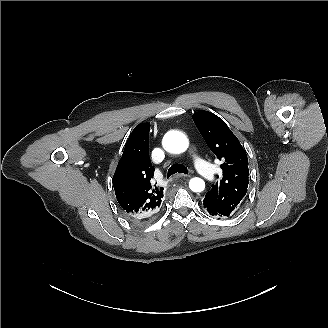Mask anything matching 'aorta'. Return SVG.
Listing matches in <instances>:
<instances>
[{
    "label": "aorta",
    "instance_id": "obj_1",
    "mask_svg": "<svg viewBox=\"0 0 328 328\" xmlns=\"http://www.w3.org/2000/svg\"><path fill=\"white\" fill-rule=\"evenodd\" d=\"M164 148L172 153H183L189 146L187 137L179 131H169L163 138ZM189 188L193 192H202L205 189V182L198 177H194L189 182Z\"/></svg>",
    "mask_w": 328,
    "mask_h": 328
}]
</instances>
